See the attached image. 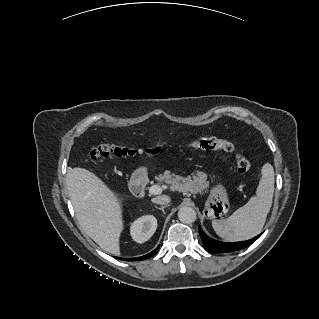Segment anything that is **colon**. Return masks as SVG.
Returning a JSON list of instances; mask_svg holds the SVG:
<instances>
[{
    "label": "colon",
    "mask_w": 319,
    "mask_h": 319,
    "mask_svg": "<svg viewBox=\"0 0 319 319\" xmlns=\"http://www.w3.org/2000/svg\"><path fill=\"white\" fill-rule=\"evenodd\" d=\"M186 147L200 150H222L229 153L234 151L231 143L217 138L206 137L194 138L186 145ZM162 149L163 148L161 146L148 149H136L104 140L92 148L89 156L92 161H98L105 157H131L135 156L139 152L156 154L160 153ZM235 161L238 172L244 174L250 170L251 164L247 159L240 155H235Z\"/></svg>",
    "instance_id": "colon-1"
}]
</instances>
